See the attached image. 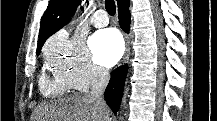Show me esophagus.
Listing matches in <instances>:
<instances>
[{"label": "esophagus", "mask_w": 217, "mask_h": 121, "mask_svg": "<svg viewBox=\"0 0 217 121\" xmlns=\"http://www.w3.org/2000/svg\"><path fill=\"white\" fill-rule=\"evenodd\" d=\"M126 43H125V54L123 57L122 64H125L129 60L130 56V37L129 35H126Z\"/></svg>", "instance_id": "34e87169"}]
</instances>
